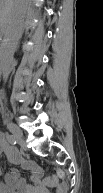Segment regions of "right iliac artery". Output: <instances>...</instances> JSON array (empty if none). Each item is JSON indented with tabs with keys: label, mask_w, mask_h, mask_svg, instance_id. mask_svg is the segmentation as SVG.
I'll use <instances>...</instances> for the list:
<instances>
[{
	"label": "right iliac artery",
	"mask_w": 103,
	"mask_h": 193,
	"mask_svg": "<svg viewBox=\"0 0 103 193\" xmlns=\"http://www.w3.org/2000/svg\"><path fill=\"white\" fill-rule=\"evenodd\" d=\"M6 138L8 142L12 145H15L17 143V139L14 135L6 134Z\"/></svg>",
	"instance_id": "82829eb1"
}]
</instances>
